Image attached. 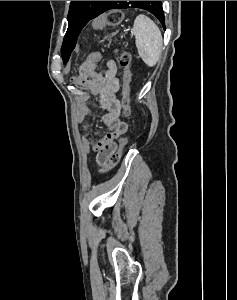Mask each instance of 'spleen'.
Returning a JSON list of instances; mask_svg holds the SVG:
<instances>
[{
	"label": "spleen",
	"instance_id": "1",
	"mask_svg": "<svg viewBox=\"0 0 237 300\" xmlns=\"http://www.w3.org/2000/svg\"><path fill=\"white\" fill-rule=\"evenodd\" d=\"M133 35L138 55L148 67H155L162 53V35L159 27L146 15H138L134 21Z\"/></svg>",
	"mask_w": 237,
	"mask_h": 300
}]
</instances>
